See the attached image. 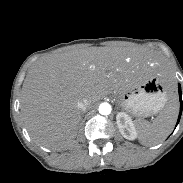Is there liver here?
I'll return each instance as SVG.
<instances>
[{
    "label": "liver",
    "instance_id": "1",
    "mask_svg": "<svg viewBox=\"0 0 183 183\" xmlns=\"http://www.w3.org/2000/svg\"><path fill=\"white\" fill-rule=\"evenodd\" d=\"M154 64L138 49L88 47L51 54L34 62L22 87L21 112L25 126L38 144L53 150L70 145L77 135L81 111L77 102L89 106L110 94H121L139 67Z\"/></svg>",
    "mask_w": 183,
    "mask_h": 183
}]
</instances>
